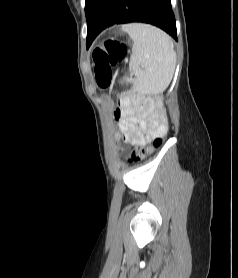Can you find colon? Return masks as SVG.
Returning <instances> with one entry per match:
<instances>
[{"instance_id": "1", "label": "colon", "mask_w": 238, "mask_h": 278, "mask_svg": "<svg viewBox=\"0 0 238 278\" xmlns=\"http://www.w3.org/2000/svg\"><path fill=\"white\" fill-rule=\"evenodd\" d=\"M127 55V47L115 40H107L97 46L92 52L95 64L96 81L100 88L108 89L112 83V69L124 61ZM161 138L154 140V146H159ZM150 151L145 145H132L129 159L132 162L139 161Z\"/></svg>"}]
</instances>
